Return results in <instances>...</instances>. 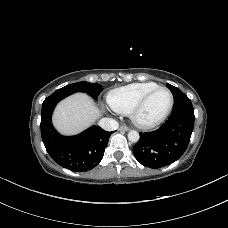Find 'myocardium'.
I'll use <instances>...</instances> for the list:
<instances>
[{"label":"myocardium","mask_w":228,"mask_h":228,"mask_svg":"<svg viewBox=\"0 0 228 228\" xmlns=\"http://www.w3.org/2000/svg\"><path fill=\"white\" fill-rule=\"evenodd\" d=\"M159 90H164L169 94L170 97V102L168 105L167 110L165 111V113L157 120L153 121V122H149V123H144L139 119V113L141 112L142 108L144 107V105L147 103V101L149 100V98L157 91ZM174 106V96L172 94V92L164 86H158L152 90H150L149 92H147L137 103L136 105L133 107L132 111H131V120L132 122L135 124V126H137L140 129H144V130H148V129H153L159 125H161L170 115L172 109Z\"/></svg>","instance_id":"1"}]
</instances>
